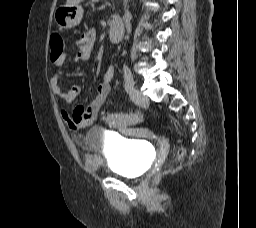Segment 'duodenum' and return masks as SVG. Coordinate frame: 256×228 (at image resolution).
Segmentation results:
<instances>
[{"label": "duodenum", "mask_w": 256, "mask_h": 228, "mask_svg": "<svg viewBox=\"0 0 256 228\" xmlns=\"http://www.w3.org/2000/svg\"><path fill=\"white\" fill-rule=\"evenodd\" d=\"M124 35V26L119 20H114L110 26L109 37L112 42H119Z\"/></svg>", "instance_id": "410a0bca"}]
</instances>
